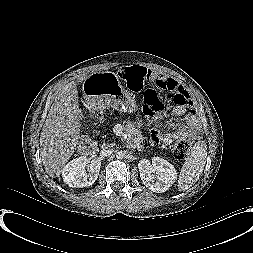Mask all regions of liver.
<instances>
[{
  "mask_svg": "<svg viewBox=\"0 0 253 253\" xmlns=\"http://www.w3.org/2000/svg\"><path fill=\"white\" fill-rule=\"evenodd\" d=\"M62 85L55 92V100L49 110L40 135V156L47 174L59 177L65 164L76 150L80 139V109L78 84L87 79Z\"/></svg>",
  "mask_w": 253,
  "mask_h": 253,
  "instance_id": "liver-1",
  "label": "liver"
}]
</instances>
